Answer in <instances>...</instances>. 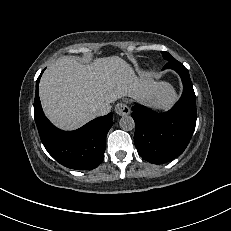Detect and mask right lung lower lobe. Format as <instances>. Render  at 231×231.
Returning a JSON list of instances; mask_svg holds the SVG:
<instances>
[{
    "mask_svg": "<svg viewBox=\"0 0 231 231\" xmlns=\"http://www.w3.org/2000/svg\"><path fill=\"white\" fill-rule=\"evenodd\" d=\"M42 74V73H41ZM36 82L34 116L41 141L48 153L60 164L76 170H91L103 161L106 135L113 125L112 113L98 117L75 131H62L45 117Z\"/></svg>",
    "mask_w": 231,
    "mask_h": 231,
    "instance_id": "98d812e1",
    "label": "right lung lower lobe"
}]
</instances>
